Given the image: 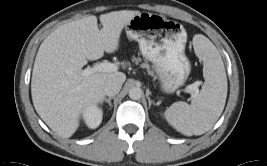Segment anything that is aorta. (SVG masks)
Returning <instances> with one entry per match:
<instances>
[{
  "label": "aorta",
  "mask_w": 267,
  "mask_h": 166,
  "mask_svg": "<svg viewBox=\"0 0 267 166\" xmlns=\"http://www.w3.org/2000/svg\"><path fill=\"white\" fill-rule=\"evenodd\" d=\"M129 97L133 100H138L142 96V90L139 87H132L128 93Z\"/></svg>",
  "instance_id": "1"
}]
</instances>
